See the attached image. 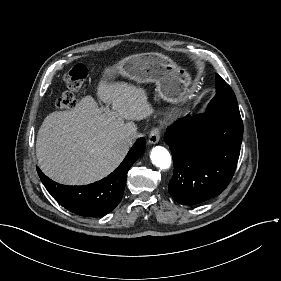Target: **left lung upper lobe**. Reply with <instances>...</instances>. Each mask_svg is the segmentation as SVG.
Here are the masks:
<instances>
[{
  "label": "left lung upper lobe",
  "instance_id": "1",
  "mask_svg": "<svg viewBox=\"0 0 281 281\" xmlns=\"http://www.w3.org/2000/svg\"><path fill=\"white\" fill-rule=\"evenodd\" d=\"M216 89V95L210 101L208 106L220 104L237 106V99L233 90L218 74H216Z\"/></svg>",
  "mask_w": 281,
  "mask_h": 281
}]
</instances>
